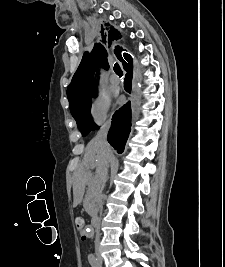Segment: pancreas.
I'll use <instances>...</instances> for the list:
<instances>
[{"instance_id": "pancreas-1", "label": "pancreas", "mask_w": 225, "mask_h": 267, "mask_svg": "<svg viewBox=\"0 0 225 267\" xmlns=\"http://www.w3.org/2000/svg\"><path fill=\"white\" fill-rule=\"evenodd\" d=\"M95 192H96V184H94L93 182H90L88 186V191L86 193L85 200H84V208L89 213L91 211L90 201L92 200Z\"/></svg>"}]
</instances>
